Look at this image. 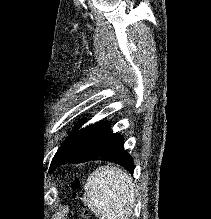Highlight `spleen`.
<instances>
[{"instance_id": "obj_1", "label": "spleen", "mask_w": 211, "mask_h": 219, "mask_svg": "<svg viewBox=\"0 0 211 219\" xmlns=\"http://www.w3.org/2000/svg\"><path fill=\"white\" fill-rule=\"evenodd\" d=\"M134 198L130 175L116 167L101 166L87 179L83 202L99 219H129Z\"/></svg>"}]
</instances>
